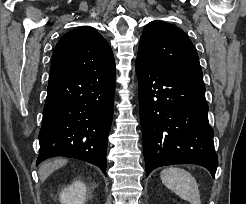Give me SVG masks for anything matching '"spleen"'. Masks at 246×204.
Here are the masks:
<instances>
[{"label":"spleen","instance_id":"obj_1","mask_svg":"<svg viewBox=\"0 0 246 204\" xmlns=\"http://www.w3.org/2000/svg\"><path fill=\"white\" fill-rule=\"evenodd\" d=\"M162 183L190 204H201L196 179L185 169L168 167L161 171Z\"/></svg>","mask_w":246,"mask_h":204}]
</instances>
